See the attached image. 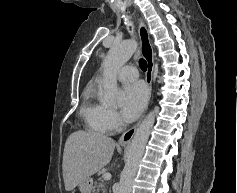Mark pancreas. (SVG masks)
Returning <instances> with one entry per match:
<instances>
[{"instance_id":"pancreas-1","label":"pancreas","mask_w":237,"mask_h":193,"mask_svg":"<svg viewBox=\"0 0 237 193\" xmlns=\"http://www.w3.org/2000/svg\"><path fill=\"white\" fill-rule=\"evenodd\" d=\"M95 186L96 190H94V193H97L99 189H101L103 193H107V186L101 178H99V181L96 182Z\"/></svg>"}]
</instances>
